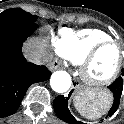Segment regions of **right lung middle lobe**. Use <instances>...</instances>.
<instances>
[{
	"label": "right lung middle lobe",
	"mask_w": 124,
	"mask_h": 124,
	"mask_svg": "<svg viewBox=\"0 0 124 124\" xmlns=\"http://www.w3.org/2000/svg\"><path fill=\"white\" fill-rule=\"evenodd\" d=\"M36 15L19 8H12L0 13V25H20L35 23Z\"/></svg>",
	"instance_id": "right-lung-middle-lobe-1"
}]
</instances>
